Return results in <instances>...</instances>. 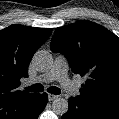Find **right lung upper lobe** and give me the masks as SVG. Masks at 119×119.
<instances>
[{
	"instance_id": "cb5924a9",
	"label": "right lung upper lobe",
	"mask_w": 119,
	"mask_h": 119,
	"mask_svg": "<svg viewBox=\"0 0 119 119\" xmlns=\"http://www.w3.org/2000/svg\"><path fill=\"white\" fill-rule=\"evenodd\" d=\"M52 28L12 25L0 31V119H26L39 94L20 91V79L36 50L49 38Z\"/></svg>"
}]
</instances>
